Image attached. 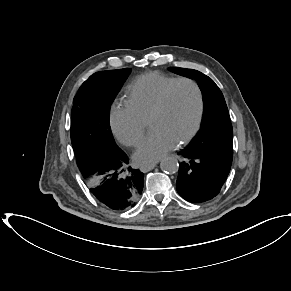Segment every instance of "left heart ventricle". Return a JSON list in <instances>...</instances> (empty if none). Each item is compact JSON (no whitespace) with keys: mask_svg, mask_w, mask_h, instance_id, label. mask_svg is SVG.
<instances>
[{"mask_svg":"<svg viewBox=\"0 0 291 291\" xmlns=\"http://www.w3.org/2000/svg\"><path fill=\"white\" fill-rule=\"evenodd\" d=\"M198 111L197 95L187 83L178 84L171 92L167 109L150 122L151 131L165 132L176 141L194 126Z\"/></svg>","mask_w":291,"mask_h":291,"instance_id":"b2bd125f","label":"left heart ventricle"}]
</instances>
